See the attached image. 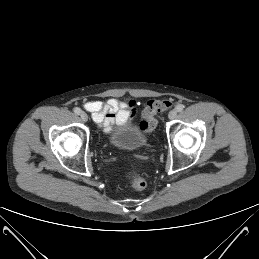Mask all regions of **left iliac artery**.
<instances>
[{"label": "left iliac artery", "instance_id": "1", "mask_svg": "<svg viewBox=\"0 0 259 259\" xmlns=\"http://www.w3.org/2000/svg\"><path fill=\"white\" fill-rule=\"evenodd\" d=\"M183 109H184V106L182 104H179V105L176 106V110L178 112H181Z\"/></svg>", "mask_w": 259, "mask_h": 259}]
</instances>
